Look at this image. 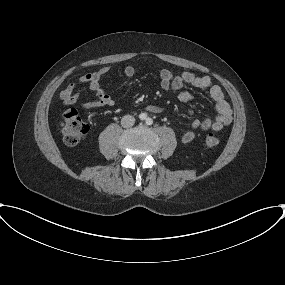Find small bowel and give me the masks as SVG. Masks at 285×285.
I'll return each mask as SVG.
<instances>
[{
	"instance_id": "1",
	"label": "small bowel",
	"mask_w": 285,
	"mask_h": 285,
	"mask_svg": "<svg viewBox=\"0 0 285 285\" xmlns=\"http://www.w3.org/2000/svg\"><path fill=\"white\" fill-rule=\"evenodd\" d=\"M108 68L104 67L95 72L87 73L79 78L77 82L70 83L60 93V100L64 105L75 104L83 92L89 90L94 98L82 104L85 109H93L97 107L113 106L114 101L108 94L104 93L100 86L101 78L108 72ZM124 73L128 77H132L136 73V69L129 65L124 69ZM160 86L166 91L176 94L180 101L186 102L192 99L191 92L184 90L185 85H191L197 89L208 92L216 106L217 114L213 118L194 119L189 128L182 133L181 141L184 144L192 142L195 138L196 131L214 130L219 131L232 121V110L225 99L222 89L218 85H214L209 76H200L192 72H182L175 74L168 69L159 71ZM148 110L155 113L162 112V108L157 105H151Z\"/></svg>"
}]
</instances>
